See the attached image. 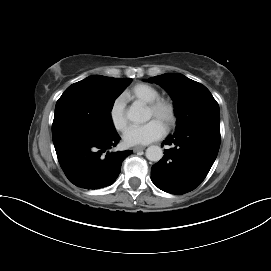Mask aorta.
Here are the masks:
<instances>
[{"label": "aorta", "mask_w": 271, "mask_h": 271, "mask_svg": "<svg viewBox=\"0 0 271 271\" xmlns=\"http://www.w3.org/2000/svg\"><path fill=\"white\" fill-rule=\"evenodd\" d=\"M127 118L129 121L139 124L145 123L150 119V114L146 108L140 103H133L127 112ZM146 158L153 162H158L163 157V151L159 146H149L146 149Z\"/></svg>", "instance_id": "obj_1"}]
</instances>
